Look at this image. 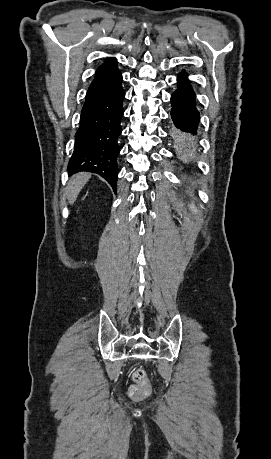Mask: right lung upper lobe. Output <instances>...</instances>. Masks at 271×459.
<instances>
[{"label": "right lung upper lobe", "mask_w": 271, "mask_h": 459, "mask_svg": "<svg viewBox=\"0 0 271 459\" xmlns=\"http://www.w3.org/2000/svg\"><path fill=\"white\" fill-rule=\"evenodd\" d=\"M117 61L115 58H108L105 60L104 64L100 66L97 71L95 78L103 76L105 74L117 71Z\"/></svg>", "instance_id": "obj_1"}]
</instances>
